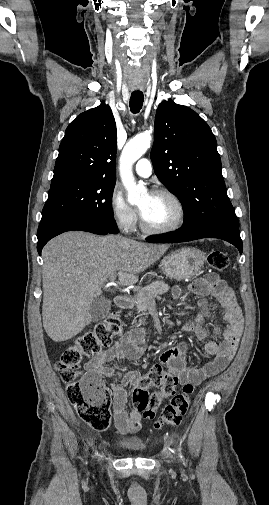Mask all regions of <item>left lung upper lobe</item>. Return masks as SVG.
Segmentation results:
<instances>
[{
  "instance_id": "1",
  "label": "left lung upper lobe",
  "mask_w": 269,
  "mask_h": 505,
  "mask_svg": "<svg viewBox=\"0 0 269 505\" xmlns=\"http://www.w3.org/2000/svg\"><path fill=\"white\" fill-rule=\"evenodd\" d=\"M151 159L157 177L183 205L185 221L180 229L239 225L227 196L215 136L196 112L171 99L160 103Z\"/></svg>"
}]
</instances>
